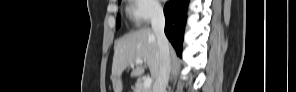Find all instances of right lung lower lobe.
Returning <instances> with one entry per match:
<instances>
[{
    "instance_id": "1",
    "label": "right lung lower lobe",
    "mask_w": 296,
    "mask_h": 92,
    "mask_svg": "<svg viewBox=\"0 0 296 92\" xmlns=\"http://www.w3.org/2000/svg\"><path fill=\"white\" fill-rule=\"evenodd\" d=\"M187 7L188 0H173L167 2L164 7L166 19L165 34L178 55H180L182 51Z\"/></svg>"
}]
</instances>
